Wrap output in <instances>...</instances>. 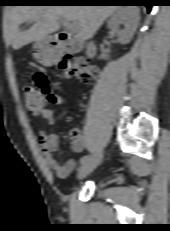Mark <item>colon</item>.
Returning a JSON list of instances; mask_svg holds the SVG:
<instances>
[{"instance_id":"5ec220e1","label":"colon","mask_w":170,"mask_h":231,"mask_svg":"<svg viewBox=\"0 0 170 231\" xmlns=\"http://www.w3.org/2000/svg\"><path fill=\"white\" fill-rule=\"evenodd\" d=\"M59 69L65 76H76L83 82H89L96 77L98 71L94 66L89 65L84 59L71 56L64 57L59 63ZM27 110L32 115H39L45 107V96L32 85H26L22 89ZM77 130H72L70 135H78Z\"/></svg>"}]
</instances>
